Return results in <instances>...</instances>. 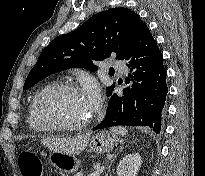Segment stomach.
<instances>
[{"instance_id":"1","label":"stomach","mask_w":205,"mask_h":176,"mask_svg":"<svg viewBox=\"0 0 205 176\" xmlns=\"http://www.w3.org/2000/svg\"><path fill=\"white\" fill-rule=\"evenodd\" d=\"M117 145V137L113 132L101 131L93 135L89 147L95 153L111 151ZM49 162L56 169L65 173H73L78 170L80 162L75 155L53 151L49 156Z\"/></svg>"}]
</instances>
